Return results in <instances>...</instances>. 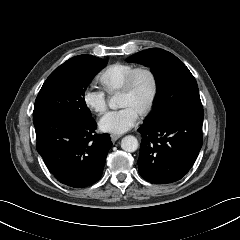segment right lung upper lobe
Listing matches in <instances>:
<instances>
[{
  "mask_svg": "<svg viewBox=\"0 0 240 240\" xmlns=\"http://www.w3.org/2000/svg\"><path fill=\"white\" fill-rule=\"evenodd\" d=\"M95 56H91V55H79V56H75L69 60H67L65 63L63 64H70V63H75V62H84V61H89L92 60Z\"/></svg>",
  "mask_w": 240,
  "mask_h": 240,
  "instance_id": "1",
  "label": "right lung upper lobe"
}]
</instances>
